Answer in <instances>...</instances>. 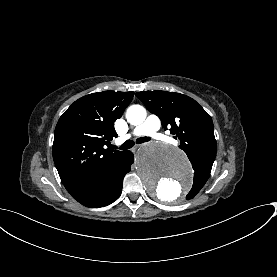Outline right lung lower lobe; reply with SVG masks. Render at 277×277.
<instances>
[{"mask_svg": "<svg viewBox=\"0 0 277 277\" xmlns=\"http://www.w3.org/2000/svg\"><path fill=\"white\" fill-rule=\"evenodd\" d=\"M133 161V153L125 151L121 158L113 160L70 194L87 207L99 208L113 203L121 195L123 178Z\"/></svg>", "mask_w": 277, "mask_h": 277, "instance_id": "1", "label": "right lung lower lobe"}]
</instances>
